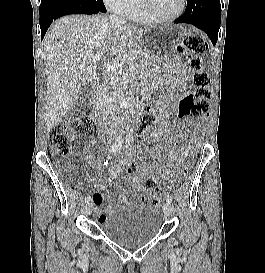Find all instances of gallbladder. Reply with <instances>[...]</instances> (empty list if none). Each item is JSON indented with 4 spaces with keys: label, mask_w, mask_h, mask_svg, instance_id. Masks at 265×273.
Instances as JSON below:
<instances>
[{
    "label": "gallbladder",
    "mask_w": 265,
    "mask_h": 273,
    "mask_svg": "<svg viewBox=\"0 0 265 273\" xmlns=\"http://www.w3.org/2000/svg\"><path fill=\"white\" fill-rule=\"evenodd\" d=\"M94 88H95L94 83H89L83 86L76 105L66 113L65 115L66 119L77 118L89 108V103L94 93Z\"/></svg>",
    "instance_id": "gallbladder-1"
}]
</instances>
